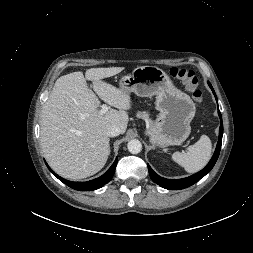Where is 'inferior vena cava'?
<instances>
[{
    "label": "inferior vena cava",
    "mask_w": 253,
    "mask_h": 253,
    "mask_svg": "<svg viewBox=\"0 0 253 253\" xmlns=\"http://www.w3.org/2000/svg\"><path fill=\"white\" fill-rule=\"evenodd\" d=\"M106 134L109 136V137H115V136H118L119 134H121V129L119 126L117 125H113L111 127H109L107 129V132Z\"/></svg>",
    "instance_id": "obj_1"
}]
</instances>
